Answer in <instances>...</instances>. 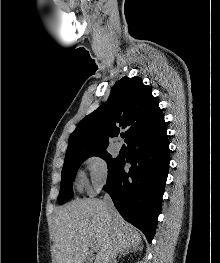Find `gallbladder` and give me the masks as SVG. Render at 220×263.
<instances>
[{
	"label": "gallbladder",
	"mask_w": 220,
	"mask_h": 263,
	"mask_svg": "<svg viewBox=\"0 0 220 263\" xmlns=\"http://www.w3.org/2000/svg\"><path fill=\"white\" fill-rule=\"evenodd\" d=\"M84 263H91V260H86V261H84Z\"/></svg>",
	"instance_id": "bac80fb5"
}]
</instances>
